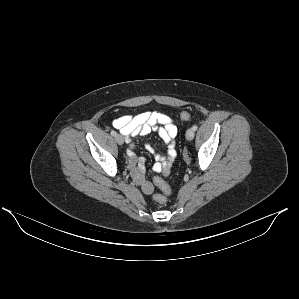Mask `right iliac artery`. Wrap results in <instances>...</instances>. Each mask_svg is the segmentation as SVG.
Wrapping results in <instances>:
<instances>
[{
	"mask_svg": "<svg viewBox=\"0 0 299 299\" xmlns=\"http://www.w3.org/2000/svg\"><path fill=\"white\" fill-rule=\"evenodd\" d=\"M116 134H117V133H116L114 130L111 131V135H112V136H116ZM127 153H128V151H127Z\"/></svg>",
	"mask_w": 299,
	"mask_h": 299,
	"instance_id": "82829eb1",
	"label": "right iliac artery"
}]
</instances>
